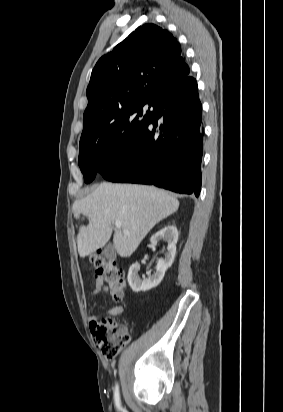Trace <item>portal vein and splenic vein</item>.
Listing matches in <instances>:
<instances>
[{
    "mask_svg": "<svg viewBox=\"0 0 283 412\" xmlns=\"http://www.w3.org/2000/svg\"><path fill=\"white\" fill-rule=\"evenodd\" d=\"M114 225H115L116 228H121V226H122L120 221H115Z\"/></svg>",
    "mask_w": 283,
    "mask_h": 412,
    "instance_id": "1",
    "label": "portal vein and splenic vein"
}]
</instances>
